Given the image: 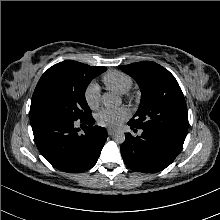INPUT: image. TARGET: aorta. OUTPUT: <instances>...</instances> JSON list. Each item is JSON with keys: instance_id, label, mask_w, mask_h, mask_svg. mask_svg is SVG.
Listing matches in <instances>:
<instances>
[{"instance_id": "obj_1", "label": "aorta", "mask_w": 220, "mask_h": 220, "mask_svg": "<svg viewBox=\"0 0 220 220\" xmlns=\"http://www.w3.org/2000/svg\"><path fill=\"white\" fill-rule=\"evenodd\" d=\"M102 104L107 107L111 108L119 104L120 100L117 96L105 93L101 97ZM114 142L118 144H122L125 141V134L122 131H117L113 134Z\"/></svg>"}]
</instances>
